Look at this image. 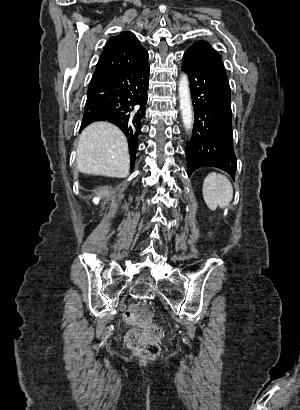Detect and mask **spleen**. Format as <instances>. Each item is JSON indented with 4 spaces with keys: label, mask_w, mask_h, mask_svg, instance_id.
<instances>
[{
    "label": "spleen",
    "mask_w": 300,
    "mask_h": 410,
    "mask_svg": "<svg viewBox=\"0 0 300 410\" xmlns=\"http://www.w3.org/2000/svg\"><path fill=\"white\" fill-rule=\"evenodd\" d=\"M203 197L207 206L215 210L218 206H228L233 198V187L230 181L222 174L210 173L203 183Z\"/></svg>",
    "instance_id": "spleen-1"
}]
</instances>
